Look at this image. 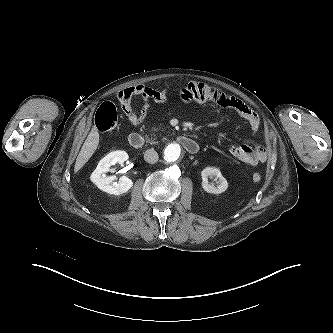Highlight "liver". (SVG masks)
<instances>
[{
  "mask_svg": "<svg viewBox=\"0 0 333 333\" xmlns=\"http://www.w3.org/2000/svg\"><path fill=\"white\" fill-rule=\"evenodd\" d=\"M99 144V133L96 127H93L87 136L75 162L74 172L77 173L91 158Z\"/></svg>",
  "mask_w": 333,
  "mask_h": 333,
  "instance_id": "1",
  "label": "liver"
}]
</instances>
